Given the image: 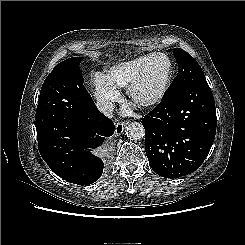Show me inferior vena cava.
Listing matches in <instances>:
<instances>
[{"label": "inferior vena cava", "instance_id": "602c4592", "mask_svg": "<svg viewBox=\"0 0 245 245\" xmlns=\"http://www.w3.org/2000/svg\"><path fill=\"white\" fill-rule=\"evenodd\" d=\"M99 111H101L107 117L113 116L114 105L111 101L108 100H99L96 104Z\"/></svg>", "mask_w": 245, "mask_h": 245}]
</instances>
